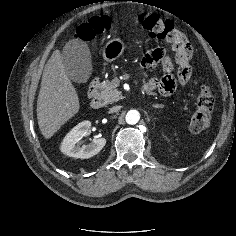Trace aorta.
Wrapping results in <instances>:
<instances>
[{"label":"aorta","instance_id":"aorta-1","mask_svg":"<svg viewBox=\"0 0 236 236\" xmlns=\"http://www.w3.org/2000/svg\"><path fill=\"white\" fill-rule=\"evenodd\" d=\"M126 122L130 125L136 124L140 119V114L137 110H130L126 114Z\"/></svg>","mask_w":236,"mask_h":236}]
</instances>
